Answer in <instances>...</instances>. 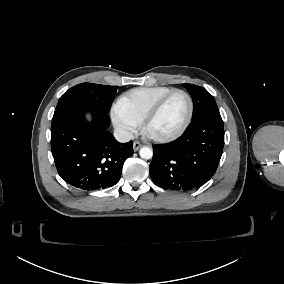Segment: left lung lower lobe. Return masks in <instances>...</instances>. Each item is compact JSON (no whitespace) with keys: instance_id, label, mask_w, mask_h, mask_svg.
Masks as SVG:
<instances>
[{"instance_id":"0a47b994","label":"left lung lower lobe","mask_w":284,"mask_h":284,"mask_svg":"<svg viewBox=\"0 0 284 284\" xmlns=\"http://www.w3.org/2000/svg\"><path fill=\"white\" fill-rule=\"evenodd\" d=\"M223 146L224 127L220 113L194 119L179 139L154 148L150 177L165 189H196L216 172Z\"/></svg>"}]
</instances>
